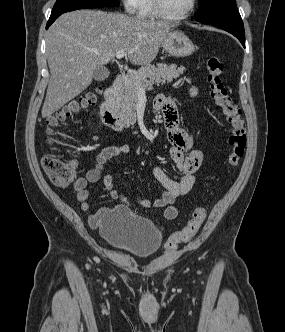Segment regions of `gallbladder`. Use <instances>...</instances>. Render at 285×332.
<instances>
[{"instance_id": "obj_1", "label": "gallbladder", "mask_w": 285, "mask_h": 332, "mask_svg": "<svg viewBox=\"0 0 285 332\" xmlns=\"http://www.w3.org/2000/svg\"><path fill=\"white\" fill-rule=\"evenodd\" d=\"M110 75V72L107 68L98 66L94 71V79L96 81H104L106 80Z\"/></svg>"}]
</instances>
